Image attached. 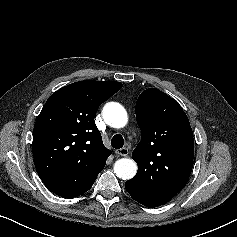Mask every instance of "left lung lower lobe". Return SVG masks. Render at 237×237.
I'll use <instances>...</instances> for the list:
<instances>
[{
	"instance_id": "0a47b994",
	"label": "left lung lower lobe",
	"mask_w": 237,
	"mask_h": 237,
	"mask_svg": "<svg viewBox=\"0 0 237 237\" xmlns=\"http://www.w3.org/2000/svg\"><path fill=\"white\" fill-rule=\"evenodd\" d=\"M125 188L128 190V188H129V187H128V185H127V184H126ZM128 191H129V190H128Z\"/></svg>"
}]
</instances>
